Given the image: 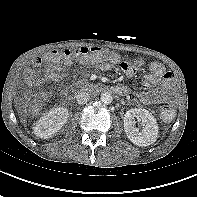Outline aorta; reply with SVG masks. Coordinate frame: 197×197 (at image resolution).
<instances>
[{"mask_svg":"<svg viewBox=\"0 0 197 197\" xmlns=\"http://www.w3.org/2000/svg\"><path fill=\"white\" fill-rule=\"evenodd\" d=\"M101 101L104 104H110L113 100V97L110 92H104L101 94Z\"/></svg>","mask_w":197,"mask_h":197,"instance_id":"1","label":"aorta"}]
</instances>
